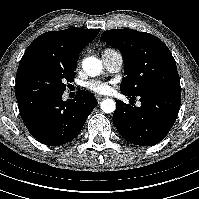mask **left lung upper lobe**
Here are the masks:
<instances>
[{"instance_id":"5c2ea615","label":"left lung upper lobe","mask_w":199,"mask_h":199,"mask_svg":"<svg viewBox=\"0 0 199 199\" xmlns=\"http://www.w3.org/2000/svg\"><path fill=\"white\" fill-rule=\"evenodd\" d=\"M101 41L123 55L125 73L121 92L137 96L149 91H181L176 62L156 36L132 29L104 31Z\"/></svg>"}]
</instances>
